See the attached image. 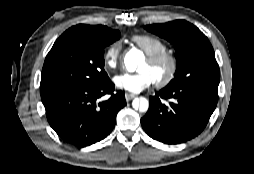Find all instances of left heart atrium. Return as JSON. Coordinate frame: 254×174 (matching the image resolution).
Returning <instances> with one entry per match:
<instances>
[{"label": "left heart atrium", "mask_w": 254, "mask_h": 174, "mask_svg": "<svg viewBox=\"0 0 254 174\" xmlns=\"http://www.w3.org/2000/svg\"><path fill=\"white\" fill-rule=\"evenodd\" d=\"M115 85L131 93H139L154 84V79L146 71L137 73H122L113 79Z\"/></svg>", "instance_id": "1"}]
</instances>
